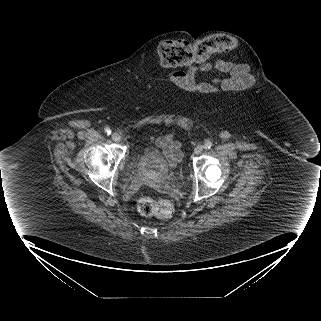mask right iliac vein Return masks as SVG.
<instances>
[{
	"instance_id": "63e3f726",
	"label": "right iliac vein",
	"mask_w": 321,
	"mask_h": 321,
	"mask_svg": "<svg viewBox=\"0 0 321 321\" xmlns=\"http://www.w3.org/2000/svg\"><path fill=\"white\" fill-rule=\"evenodd\" d=\"M112 139H113L115 142H120V141H121V136H120L118 133H113V134H112Z\"/></svg>"
}]
</instances>
